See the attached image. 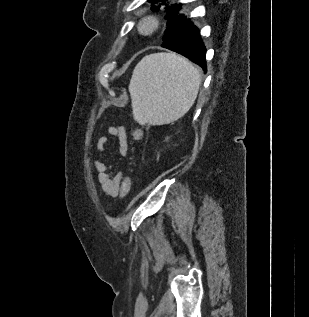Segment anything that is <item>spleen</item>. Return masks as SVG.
<instances>
[{
  "label": "spleen",
  "instance_id": "obj_1",
  "mask_svg": "<svg viewBox=\"0 0 309 317\" xmlns=\"http://www.w3.org/2000/svg\"><path fill=\"white\" fill-rule=\"evenodd\" d=\"M200 82L199 70L181 56H145L134 68L129 84L134 119L152 125L178 120L193 106Z\"/></svg>",
  "mask_w": 309,
  "mask_h": 317
}]
</instances>
